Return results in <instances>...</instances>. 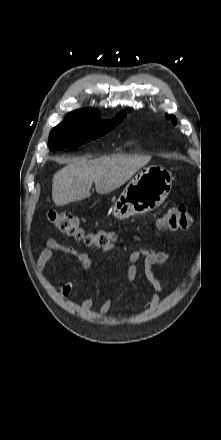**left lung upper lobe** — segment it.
<instances>
[{
  "label": "left lung upper lobe",
  "instance_id": "1",
  "mask_svg": "<svg viewBox=\"0 0 221 440\" xmlns=\"http://www.w3.org/2000/svg\"><path fill=\"white\" fill-rule=\"evenodd\" d=\"M167 118L171 119V120L173 121V123L176 124L175 116H173V115H167Z\"/></svg>",
  "mask_w": 221,
  "mask_h": 440
}]
</instances>
